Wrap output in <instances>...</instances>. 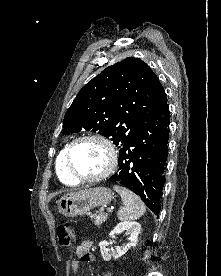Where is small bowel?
Wrapping results in <instances>:
<instances>
[{"instance_id": "obj_1", "label": "small bowel", "mask_w": 221, "mask_h": 276, "mask_svg": "<svg viewBox=\"0 0 221 276\" xmlns=\"http://www.w3.org/2000/svg\"><path fill=\"white\" fill-rule=\"evenodd\" d=\"M92 243L90 241H83L80 245H78L75 249L76 259L71 261L70 267L73 273L78 272L79 262L87 261L94 262L95 258L91 253Z\"/></svg>"}]
</instances>
